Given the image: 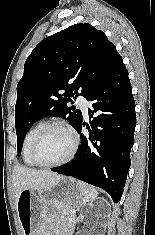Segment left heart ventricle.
Returning <instances> with one entry per match:
<instances>
[{
	"label": "left heart ventricle",
	"mask_w": 155,
	"mask_h": 235,
	"mask_svg": "<svg viewBox=\"0 0 155 235\" xmlns=\"http://www.w3.org/2000/svg\"><path fill=\"white\" fill-rule=\"evenodd\" d=\"M72 141L67 132L53 129L46 134L37 148V158L44 163L64 159L70 152Z\"/></svg>",
	"instance_id": "b2bd125f"
}]
</instances>
